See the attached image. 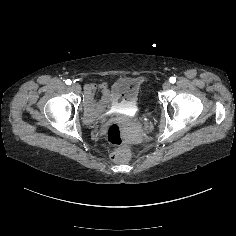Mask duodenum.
<instances>
[{"label": "duodenum", "mask_w": 236, "mask_h": 236, "mask_svg": "<svg viewBox=\"0 0 236 236\" xmlns=\"http://www.w3.org/2000/svg\"><path fill=\"white\" fill-rule=\"evenodd\" d=\"M107 101H108L107 93L103 94V98L100 102H96L93 96V92L91 90L88 91L85 96L86 118L89 120H93L102 115L106 110L105 105Z\"/></svg>", "instance_id": "410a0bca"}]
</instances>
